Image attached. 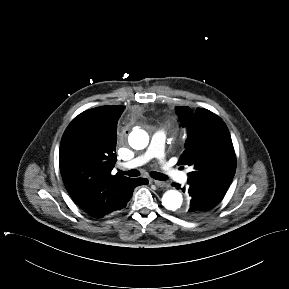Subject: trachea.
Returning a JSON list of instances; mask_svg holds the SVG:
<instances>
[{
  "label": "trachea",
  "instance_id": "1",
  "mask_svg": "<svg viewBox=\"0 0 289 289\" xmlns=\"http://www.w3.org/2000/svg\"><path fill=\"white\" fill-rule=\"evenodd\" d=\"M122 174H125V175H128L130 177H137L139 176L140 172L138 170H129V171H121ZM151 177L156 179V180H160V181H163V180H166L167 177L160 173V172H151L150 173Z\"/></svg>",
  "mask_w": 289,
  "mask_h": 289
}]
</instances>
